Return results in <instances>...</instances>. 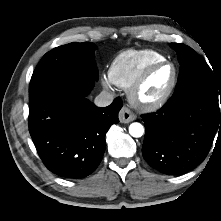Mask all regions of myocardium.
Wrapping results in <instances>:
<instances>
[{
	"mask_svg": "<svg viewBox=\"0 0 221 221\" xmlns=\"http://www.w3.org/2000/svg\"><path fill=\"white\" fill-rule=\"evenodd\" d=\"M165 65L171 66L172 71H173L172 78H171L169 85L167 86L165 91L156 99L151 100V101H143L140 98V91H141L142 87L144 86V84L146 83V81L148 80L150 75L157 68L165 66ZM177 79H178V70H177L176 65L173 62H171L167 59L154 62V63L148 65L141 72V74L136 78V80L132 83V85L129 87V89H128L129 101L131 102V104L134 107H136L139 110H142L145 112L155 111V110L161 108L169 100L170 96L172 95V93L176 87Z\"/></svg>",
	"mask_w": 221,
	"mask_h": 221,
	"instance_id": "f54148a6",
	"label": "myocardium"
}]
</instances>
